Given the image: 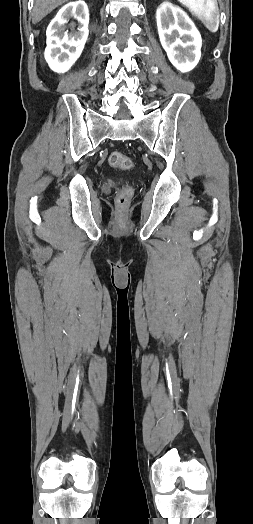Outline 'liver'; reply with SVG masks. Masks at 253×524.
<instances>
[{
  "label": "liver",
  "mask_w": 253,
  "mask_h": 524,
  "mask_svg": "<svg viewBox=\"0 0 253 524\" xmlns=\"http://www.w3.org/2000/svg\"><path fill=\"white\" fill-rule=\"evenodd\" d=\"M68 1L69 0H35L32 13V22L34 24L38 23L56 7Z\"/></svg>",
  "instance_id": "liver-1"
}]
</instances>
